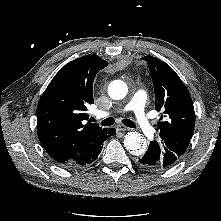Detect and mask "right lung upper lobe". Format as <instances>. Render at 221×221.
Masks as SVG:
<instances>
[{"label": "right lung upper lobe", "instance_id": "right-lung-upper-lobe-1", "mask_svg": "<svg viewBox=\"0 0 221 221\" xmlns=\"http://www.w3.org/2000/svg\"><path fill=\"white\" fill-rule=\"evenodd\" d=\"M107 65L96 55L75 59L57 72L42 94L37 106V134L55 161L75 158L104 129L86 122V111L94 103V78Z\"/></svg>", "mask_w": 221, "mask_h": 221}]
</instances>
